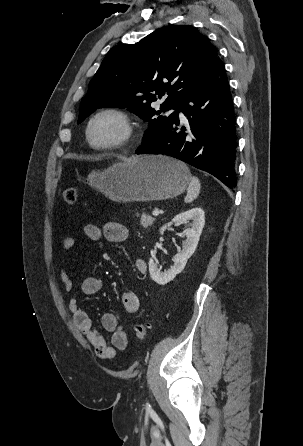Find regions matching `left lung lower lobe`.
I'll return each instance as SVG.
<instances>
[{
  "mask_svg": "<svg viewBox=\"0 0 303 446\" xmlns=\"http://www.w3.org/2000/svg\"><path fill=\"white\" fill-rule=\"evenodd\" d=\"M171 122L137 154H163L204 170L235 188V117L225 67L219 57L210 70L175 105ZM182 111L189 127L179 131ZM186 131V132H185Z\"/></svg>",
  "mask_w": 303,
  "mask_h": 446,
  "instance_id": "0a47b994",
  "label": "left lung lower lobe"
}]
</instances>
